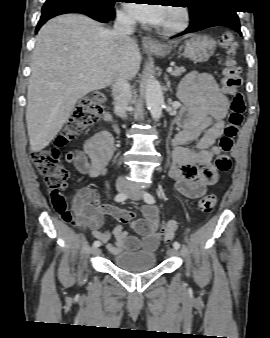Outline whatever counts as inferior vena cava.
I'll return each instance as SVG.
<instances>
[{"label":"inferior vena cava","mask_w":270,"mask_h":338,"mask_svg":"<svg viewBox=\"0 0 270 338\" xmlns=\"http://www.w3.org/2000/svg\"><path fill=\"white\" fill-rule=\"evenodd\" d=\"M135 31V20L128 17L124 13H117L116 21L114 23V29L111 31V35L114 38L116 44L122 41L130 39ZM112 94L114 97V103L116 109L119 111L121 118L127 117L126 110L132 98L131 88L129 82L118 75L112 84Z\"/></svg>","instance_id":"602c4592"}]
</instances>
